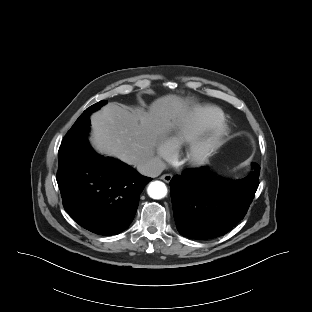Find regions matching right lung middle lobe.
Returning a JSON list of instances; mask_svg holds the SVG:
<instances>
[{"mask_svg":"<svg viewBox=\"0 0 312 312\" xmlns=\"http://www.w3.org/2000/svg\"><path fill=\"white\" fill-rule=\"evenodd\" d=\"M106 100H102L89 108H87L82 115L76 120L72 128L66 134L61 143L58 152V164L59 167L66 166L71 160H73L77 154L79 146L83 145L87 141V133L90 126V114L101 106L106 104Z\"/></svg>","mask_w":312,"mask_h":312,"instance_id":"right-lung-middle-lobe-1","label":"right lung middle lobe"}]
</instances>
